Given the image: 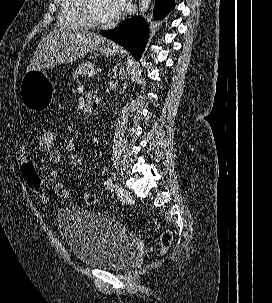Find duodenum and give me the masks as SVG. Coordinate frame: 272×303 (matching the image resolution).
I'll list each match as a JSON object with an SVG mask.
<instances>
[{
    "instance_id": "410a0bca",
    "label": "duodenum",
    "mask_w": 272,
    "mask_h": 303,
    "mask_svg": "<svg viewBox=\"0 0 272 303\" xmlns=\"http://www.w3.org/2000/svg\"><path fill=\"white\" fill-rule=\"evenodd\" d=\"M100 102H101L100 98H98V97L93 98L91 101H89L86 104V111L88 113H92V112L96 111L99 108Z\"/></svg>"
}]
</instances>
